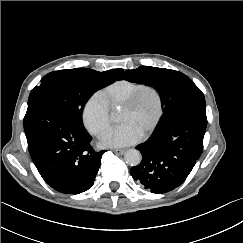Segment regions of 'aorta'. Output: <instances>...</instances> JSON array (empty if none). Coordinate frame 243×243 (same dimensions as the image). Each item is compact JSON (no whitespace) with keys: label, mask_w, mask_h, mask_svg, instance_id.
<instances>
[{"label":"aorta","mask_w":243,"mask_h":243,"mask_svg":"<svg viewBox=\"0 0 243 243\" xmlns=\"http://www.w3.org/2000/svg\"><path fill=\"white\" fill-rule=\"evenodd\" d=\"M125 162L130 166H137L141 162V154L136 149H129L124 155Z\"/></svg>","instance_id":"aorta-1"}]
</instances>
